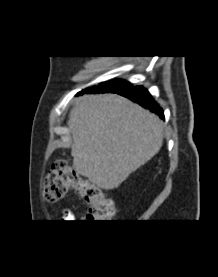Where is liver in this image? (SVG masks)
Masks as SVG:
<instances>
[{"mask_svg": "<svg viewBox=\"0 0 218 277\" xmlns=\"http://www.w3.org/2000/svg\"><path fill=\"white\" fill-rule=\"evenodd\" d=\"M68 126L74 170L104 190L117 188L163 144L162 121L115 94L80 97Z\"/></svg>", "mask_w": 218, "mask_h": 277, "instance_id": "1", "label": "liver"}]
</instances>
